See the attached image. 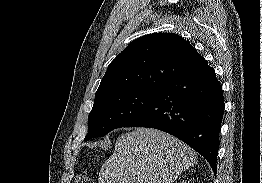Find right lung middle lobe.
I'll return each mask as SVG.
<instances>
[{"mask_svg":"<svg viewBox=\"0 0 262 183\" xmlns=\"http://www.w3.org/2000/svg\"><path fill=\"white\" fill-rule=\"evenodd\" d=\"M157 89H126L95 97L85 141L124 127L152 101Z\"/></svg>","mask_w":262,"mask_h":183,"instance_id":"obj_1","label":"right lung middle lobe"}]
</instances>
